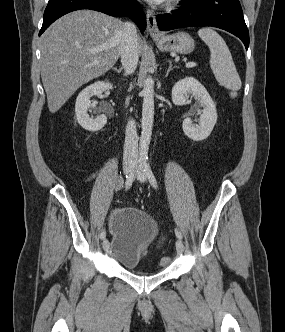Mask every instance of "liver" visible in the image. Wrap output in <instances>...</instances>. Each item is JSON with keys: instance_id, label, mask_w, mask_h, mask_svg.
Returning <instances> with one entry per match:
<instances>
[{"instance_id": "6515ba94", "label": "liver", "mask_w": 285, "mask_h": 332, "mask_svg": "<svg viewBox=\"0 0 285 332\" xmlns=\"http://www.w3.org/2000/svg\"><path fill=\"white\" fill-rule=\"evenodd\" d=\"M124 23L92 10L56 20L41 37V78L48 108L57 112L83 84L109 71L121 56ZM145 43L138 36V53Z\"/></svg>"}]
</instances>
